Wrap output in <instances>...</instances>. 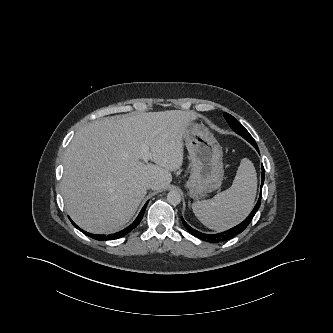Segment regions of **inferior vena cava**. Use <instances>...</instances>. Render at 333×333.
<instances>
[{"mask_svg":"<svg viewBox=\"0 0 333 333\" xmlns=\"http://www.w3.org/2000/svg\"><path fill=\"white\" fill-rule=\"evenodd\" d=\"M154 185H155L154 181L150 180L146 183V188L152 189L154 187Z\"/></svg>","mask_w":333,"mask_h":333,"instance_id":"602c4592","label":"inferior vena cava"}]
</instances>
